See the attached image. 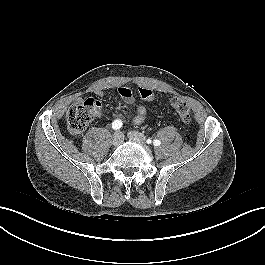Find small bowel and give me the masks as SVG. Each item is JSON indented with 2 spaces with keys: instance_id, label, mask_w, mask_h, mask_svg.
I'll list each match as a JSON object with an SVG mask.
<instances>
[{
  "instance_id": "obj_1",
  "label": "small bowel",
  "mask_w": 265,
  "mask_h": 265,
  "mask_svg": "<svg viewBox=\"0 0 265 265\" xmlns=\"http://www.w3.org/2000/svg\"><path fill=\"white\" fill-rule=\"evenodd\" d=\"M118 92L122 99L127 103V104H133L135 102V97L132 93V91L129 88L126 87H121L118 89ZM99 95H102V92H98ZM146 116V108L142 105L138 106L136 109V114L133 117V123L136 125L142 124L145 120ZM122 115L118 114L117 115V120L122 119Z\"/></svg>"
}]
</instances>
